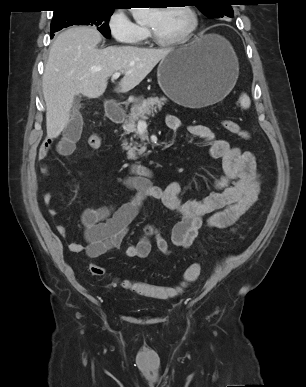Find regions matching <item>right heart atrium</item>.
I'll return each instance as SVG.
<instances>
[{
	"label": "right heart atrium",
	"mask_w": 306,
	"mask_h": 387,
	"mask_svg": "<svg viewBox=\"0 0 306 387\" xmlns=\"http://www.w3.org/2000/svg\"><path fill=\"white\" fill-rule=\"evenodd\" d=\"M113 39L120 44H137L146 36V30L132 20L125 9H115L107 21Z\"/></svg>",
	"instance_id": "right-heart-atrium-1"
}]
</instances>
